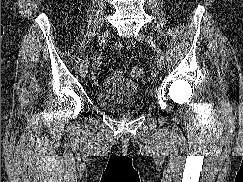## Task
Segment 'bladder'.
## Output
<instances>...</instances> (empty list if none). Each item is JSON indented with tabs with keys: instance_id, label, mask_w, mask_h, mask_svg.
I'll list each match as a JSON object with an SVG mask.
<instances>
[{
	"instance_id": "1",
	"label": "bladder",
	"mask_w": 243,
	"mask_h": 182,
	"mask_svg": "<svg viewBox=\"0 0 243 182\" xmlns=\"http://www.w3.org/2000/svg\"><path fill=\"white\" fill-rule=\"evenodd\" d=\"M95 101L104 111L118 115L137 114L145 107L142 96L134 93L121 95L114 91L101 90L96 92Z\"/></svg>"
}]
</instances>
